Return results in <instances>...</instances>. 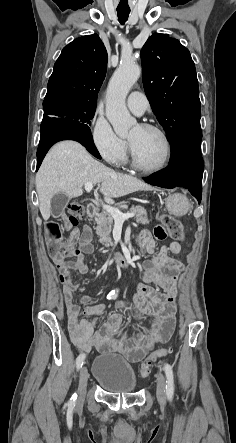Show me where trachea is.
Returning <instances> with one entry per match:
<instances>
[{
	"mask_svg": "<svg viewBox=\"0 0 236 443\" xmlns=\"http://www.w3.org/2000/svg\"><path fill=\"white\" fill-rule=\"evenodd\" d=\"M130 9H117L118 20L121 24H124L129 16Z\"/></svg>",
	"mask_w": 236,
	"mask_h": 443,
	"instance_id": "obj_1",
	"label": "trachea"
}]
</instances>
